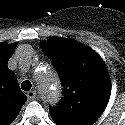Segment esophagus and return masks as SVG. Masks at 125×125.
Returning <instances> with one entry per match:
<instances>
[{
  "label": "esophagus",
  "instance_id": "34e87169",
  "mask_svg": "<svg viewBox=\"0 0 125 125\" xmlns=\"http://www.w3.org/2000/svg\"><path fill=\"white\" fill-rule=\"evenodd\" d=\"M26 96L29 100H33L36 98V92L34 90L28 91Z\"/></svg>",
  "mask_w": 125,
  "mask_h": 125
}]
</instances>
